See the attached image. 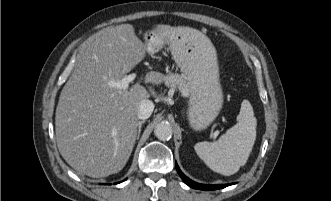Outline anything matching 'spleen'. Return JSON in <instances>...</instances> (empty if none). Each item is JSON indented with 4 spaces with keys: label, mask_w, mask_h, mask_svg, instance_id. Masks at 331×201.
I'll list each match as a JSON object with an SVG mask.
<instances>
[{
    "label": "spleen",
    "mask_w": 331,
    "mask_h": 201,
    "mask_svg": "<svg viewBox=\"0 0 331 201\" xmlns=\"http://www.w3.org/2000/svg\"><path fill=\"white\" fill-rule=\"evenodd\" d=\"M256 139V118L251 104H241L237 123L215 142H199L194 149L197 155L214 172L230 176L244 166Z\"/></svg>",
    "instance_id": "3e777b00"
}]
</instances>
